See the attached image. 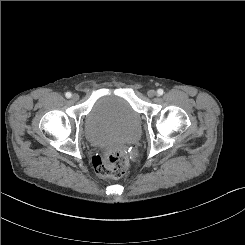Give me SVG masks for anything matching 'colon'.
I'll return each mask as SVG.
<instances>
[{
  "label": "colon",
  "instance_id": "obj_1",
  "mask_svg": "<svg viewBox=\"0 0 245 245\" xmlns=\"http://www.w3.org/2000/svg\"><path fill=\"white\" fill-rule=\"evenodd\" d=\"M95 172L104 178L119 179L129 167V158L121 149L106 151L92 159Z\"/></svg>",
  "mask_w": 245,
  "mask_h": 245
}]
</instances>
